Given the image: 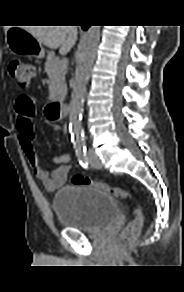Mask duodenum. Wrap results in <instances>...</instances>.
<instances>
[{"label":"duodenum","instance_id":"410a0bca","mask_svg":"<svg viewBox=\"0 0 184 292\" xmlns=\"http://www.w3.org/2000/svg\"><path fill=\"white\" fill-rule=\"evenodd\" d=\"M46 113L48 116L52 117L53 119H64L69 114V106L63 100L51 102L46 107Z\"/></svg>","mask_w":184,"mask_h":292}]
</instances>
